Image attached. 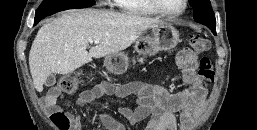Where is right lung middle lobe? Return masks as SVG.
<instances>
[{
  "label": "right lung middle lobe",
  "mask_w": 257,
  "mask_h": 130,
  "mask_svg": "<svg viewBox=\"0 0 257 130\" xmlns=\"http://www.w3.org/2000/svg\"><path fill=\"white\" fill-rule=\"evenodd\" d=\"M94 0H43L36 11L35 23L41 18L72 6L91 7Z\"/></svg>",
  "instance_id": "right-lung-middle-lobe-1"
}]
</instances>
